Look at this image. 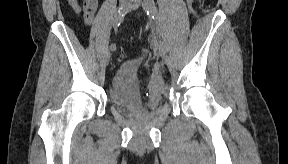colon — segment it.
I'll return each mask as SVG.
<instances>
[{
	"label": "colon",
	"instance_id": "obj_1",
	"mask_svg": "<svg viewBox=\"0 0 288 164\" xmlns=\"http://www.w3.org/2000/svg\"><path fill=\"white\" fill-rule=\"evenodd\" d=\"M93 15H94V11H92L88 7H84L83 18H89V17H92ZM125 58H126V53L123 50H121L119 53V59L124 60Z\"/></svg>",
	"mask_w": 288,
	"mask_h": 164
}]
</instances>
